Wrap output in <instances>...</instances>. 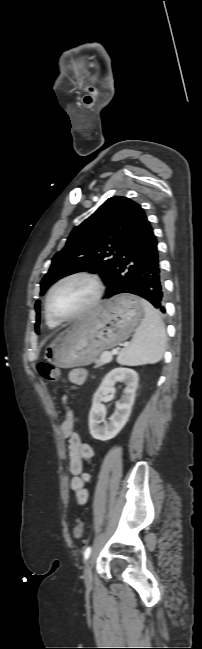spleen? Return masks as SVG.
Here are the masks:
<instances>
[{"label":"spleen","instance_id":"3e777b00","mask_svg":"<svg viewBox=\"0 0 202 649\" xmlns=\"http://www.w3.org/2000/svg\"><path fill=\"white\" fill-rule=\"evenodd\" d=\"M142 306L144 318L131 343L117 357V362L121 365L153 364L161 360L165 351L166 333L159 312L145 299H142Z\"/></svg>","mask_w":202,"mask_h":649}]
</instances>
